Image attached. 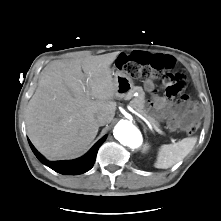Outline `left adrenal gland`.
I'll return each mask as SVG.
<instances>
[{
    "mask_svg": "<svg viewBox=\"0 0 221 221\" xmlns=\"http://www.w3.org/2000/svg\"><path fill=\"white\" fill-rule=\"evenodd\" d=\"M140 123L142 124L143 128H144V132H146L147 127L145 126V124L143 122L140 121Z\"/></svg>",
    "mask_w": 221,
    "mask_h": 221,
    "instance_id": "1",
    "label": "left adrenal gland"
}]
</instances>
